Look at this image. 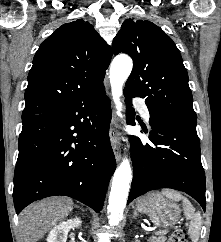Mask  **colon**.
<instances>
[{
  "instance_id": "obj_1",
  "label": "colon",
  "mask_w": 221,
  "mask_h": 242,
  "mask_svg": "<svg viewBox=\"0 0 221 242\" xmlns=\"http://www.w3.org/2000/svg\"><path fill=\"white\" fill-rule=\"evenodd\" d=\"M169 242H188L187 232L183 228L175 229L169 238Z\"/></svg>"
}]
</instances>
